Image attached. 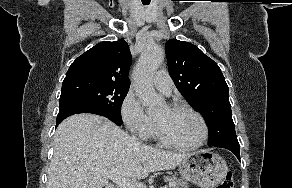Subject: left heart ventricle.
<instances>
[{
    "mask_svg": "<svg viewBox=\"0 0 292 188\" xmlns=\"http://www.w3.org/2000/svg\"><path fill=\"white\" fill-rule=\"evenodd\" d=\"M154 119L158 122L164 134L175 143L191 145L202 136L201 123L190 112L170 111L165 107L154 116Z\"/></svg>",
    "mask_w": 292,
    "mask_h": 188,
    "instance_id": "left-heart-ventricle-1",
    "label": "left heart ventricle"
}]
</instances>
